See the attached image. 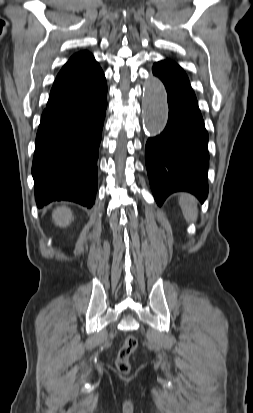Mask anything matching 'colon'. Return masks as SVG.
Listing matches in <instances>:
<instances>
[{"mask_svg": "<svg viewBox=\"0 0 253 413\" xmlns=\"http://www.w3.org/2000/svg\"><path fill=\"white\" fill-rule=\"evenodd\" d=\"M138 341L133 335H128L117 356V368L122 373H128L130 370L129 358L136 351Z\"/></svg>", "mask_w": 253, "mask_h": 413, "instance_id": "colon-1", "label": "colon"}]
</instances>
